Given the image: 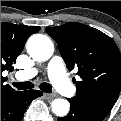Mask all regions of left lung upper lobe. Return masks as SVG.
I'll list each match as a JSON object with an SVG mask.
<instances>
[{
    "instance_id": "left-lung-upper-lobe-1",
    "label": "left lung upper lobe",
    "mask_w": 121,
    "mask_h": 121,
    "mask_svg": "<svg viewBox=\"0 0 121 121\" xmlns=\"http://www.w3.org/2000/svg\"><path fill=\"white\" fill-rule=\"evenodd\" d=\"M69 70H77L76 96L85 109L107 116L121 89V55L103 32L81 23L47 27Z\"/></svg>"
}]
</instances>
